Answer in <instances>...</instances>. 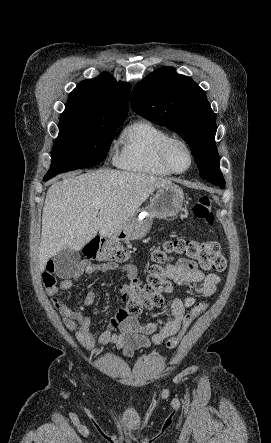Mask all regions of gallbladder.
Masks as SVG:
<instances>
[{"label":"gallbladder","instance_id":"1","mask_svg":"<svg viewBox=\"0 0 271 443\" xmlns=\"http://www.w3.org/2000/svg\"><path fill=\"white\" fill-rule=\"evenodd\" d=\"M77 259V251H70V249L59 251L54 259L58 278H71L72 273H77L78 269H82V260Z\"/></svg>","mask_w":271,"mask_h":443}]
</instances>
